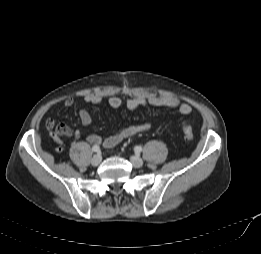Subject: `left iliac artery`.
<instances>
[{"instance_id":"1","label":"left iliac artery","mask_w":261,"mask_h":254,"mask_svg":"<svg viewBox=\"0 0 261 254\" xmlns=\"http://www.w3.org/2000/svg\"><path fill=\"white\" fill-rule=\"evenodd\" d=\"M134 150L136 153H140L142 151V148L140 146H136Z\"/></svg>"}]
</instances>
